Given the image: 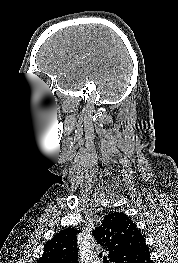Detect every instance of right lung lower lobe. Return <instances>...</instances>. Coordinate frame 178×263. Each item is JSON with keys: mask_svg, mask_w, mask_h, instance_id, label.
Wrapping results in <instances>:
<instances>
[{"mask_svg": "<svg viewBox=\"0 0 178 263\" xmlns=\"http://www.w3.org/2000/svg\"><path fill=\"white\" fill-rule=\"evenodd\" d=\"M136 263H152V261L150 260L149 251L144 254L138 261H136Z\"/></svg>", "mask_w": 178, "mask_h": 263, "instance_id": "1", "label": "right lung lower lobe"}]
</instances>
